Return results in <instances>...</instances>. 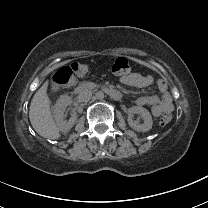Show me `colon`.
<instances>
[{
    "mask_svg": "<svg viewBox=\"0 0 208 208\" xmlns=\"http://www.w3.org/2000/svg\"><path fill=\"white\" fill-rule=\"evenodd\" d=\"M73 69H79L78 63H73L71 66ZM130 71L129 61L125 57H118L111 66V72L115 75H125ZM171 122V116L169 114H163L160 116L158 123L160 126H167Z\"/></svg>",
    "mask_w": 208,
    "mask_h": 208,
    "instance_id": "1",
    "label": "colon"
}]
</instances>
